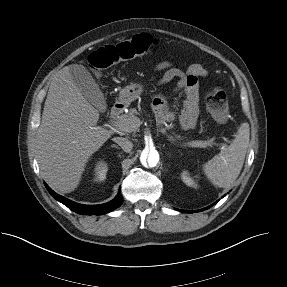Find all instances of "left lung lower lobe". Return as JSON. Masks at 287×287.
<instances>
[{
	"label": "left lung lower lobe",
	"mask_w": 287,
	"mask_h": 287,
	"mask_svg": "<svg viewBox=\"0 0 287 287\" xmlns=\"http://www.w3.org/2000/svg\"><path fill=\"white\" fill-rule=\"evenodd\" d=\"M210 207V206H209ZM209 207H207V208H209ZM207 208H205V209H207ZM205 209H202V210H205ZM181 212H187V213H192L193 211H185V210H180ZM199 211H201V210H199ZM195 212H197V211H195Z\"/></svg>",
	"instance_id": "0a47b994"
}]
</instances>
